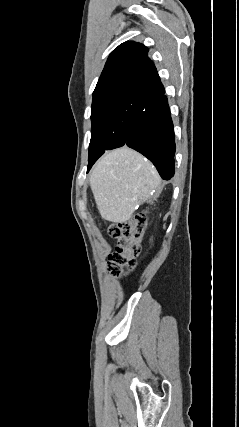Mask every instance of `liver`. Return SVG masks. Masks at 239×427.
Instances as JSON below:
<instances>
[{"label":"liver","mask_w":239,"mask_h":427,"mask_svg":"<svg viewBox=\"0 0 239 427\" xmlns=\"http://www.w3.org/2000/svg\"><path fill=\"white\" fill-rule=\"evenodd\" d=\"M90 186L101 217L124 223L153 192L159 195L161 179L141 154L122 147L100 158L92 170Z\"/></svg>","instance_id":"liver-1"}]
</instances>
